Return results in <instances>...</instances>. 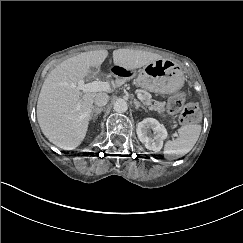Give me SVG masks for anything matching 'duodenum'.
<instances>
[{
  "instance_id": "obj_1",
  "label": "duodenum",
  "mask_w": 243,
  "mask_h": 243,
  "mask_svg": "<svg viewBox=\"0 0 243 243\" xmlns=\"http://www.w3.org/2000/svg\"><path fill=\"white\" fill-rule=\"evenodd\" d=\"M111 72L119 78H129L133 75V70L128 68L127 66L123 64H115L111 68Z\"/></svg>"
}]
</instances>
